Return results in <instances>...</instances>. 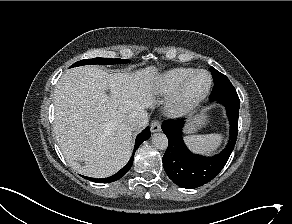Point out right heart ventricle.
<instances>
[{
    "label": "right heart ventricle",
    "mask_w": 292,
    "mask_h": 224,
    "mask_svg": "<svg viewBox=\"0 0 292 224\" xmlns=\"http://www.w3.org/2000/svg\"><path fill=\"white\" fill-rule=\"evenodd\" d=\"M194 68L178 67L173 68L157 77L155 82L156 90L165 95H172L178 89L183 80L190 75Z\"/></svg>",
    "instance_id": "1"
}]
</instances>
